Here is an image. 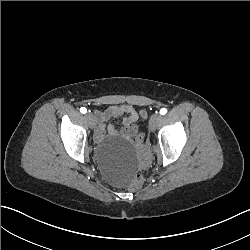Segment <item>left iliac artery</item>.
Returning a JSON list of instances; mask_svg holds the SVG:
<instances>
[{
    "mask_svg": "<svg viewBox=\"0 0 250 250\" xmlns=\"http://www.w3.org/2000/svg\"><path fill=\"white\" fill-rule=\"evenodd\" d=\"M167 113V109L166 108H162L161 110H160V114L161 115H165Z\"/></svg>",
    "mask_w": 250,
    "mask_h": 250,
    "instance_id": "1",
    "label": "left iliac artery"
}]
</instances>
